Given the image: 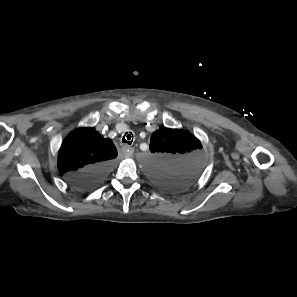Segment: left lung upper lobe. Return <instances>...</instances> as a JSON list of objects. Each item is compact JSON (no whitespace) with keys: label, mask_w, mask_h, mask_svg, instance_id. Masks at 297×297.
<instances>
[{"label":"left lung upper lobe","mask_w":297,"mask_h":297,"mask_svg":"<svg viewBox=\"0 0 297 297\" xmlns=\"http://www.w3.org/2000/svg\"><path fill=\"white\" fill-rule=\"evenodd\" d=\"M201 149L200 141L189 132L160 128L151 135L148 174L153 182L166 189L186 186L202 170Z\"/></svg>","instance_id":"left-lung-upper-lobe-1"}]
</instances>
